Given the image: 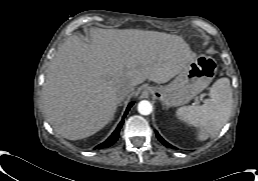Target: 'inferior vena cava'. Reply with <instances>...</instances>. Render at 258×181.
I'll return each instance as SVG.
<instances>
[{
  "label": "inferior vena cava",
  "instance_id": "1",
  "mask_svg": "<svg viewBox=\"0 0 258 181\" xmlns=\"http://www.w3.org/2000/svg\"><path fill=\"white\" fill-rule=\"evenodd\" d=\"M132 88H124L119 92V100H123L130 92Z\"/></svg>",
  "mask_w": 258,
  "mask_h": 181
}]
</instances>
